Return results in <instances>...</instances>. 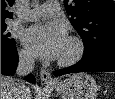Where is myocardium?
Returning <instances> with one entry per match:
<instances>
[{"mask_svg":"<svg viewBox=\"0 0 115 99\" xmlns=\"http://www.w3.org/2000/svg\"><path fill=\"white\" fill-rule=\"evenodd\" d=\"M68 43L71 47V52L59 58L58 64L61 66H71L79 62L85 54V44L80 37L71 36L68 38Z\"/></svg>","mask_w":115,"mask_h":99,"instance_id":"f54148a6","label":"myocardium"}]
</instances>
